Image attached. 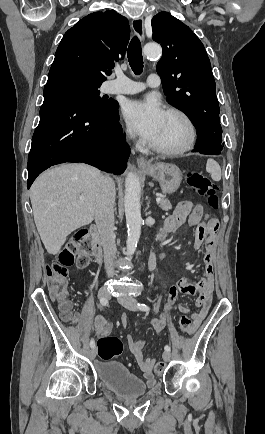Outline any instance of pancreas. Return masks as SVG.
<instances>
[{
	"mask_svg": "<svg viewBox=\"0 0 265 434\" xmlns=\"http://www.w3.org/2000/svg\"><path fill=\"white\" fill-rule=\"evenodd\" d=\"M161 210H165V212H168V210H172V206L169 202V200H166V198H161V202H159Z\"/></svg>",
	"mask_w": 265,
	"mask_h": 434,
	"instance_id": "1",
	"label": "pancreas"
}]
</instances>
